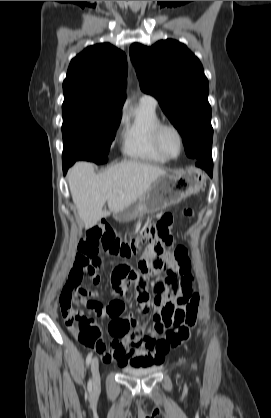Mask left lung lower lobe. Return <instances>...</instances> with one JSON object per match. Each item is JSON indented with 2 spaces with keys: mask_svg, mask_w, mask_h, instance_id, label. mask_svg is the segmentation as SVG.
<instances>
[{
  "mask_svg": "<svg viewBox=\"0 0 271 418\" xmlns=\"http://www.w3.org/2000/svg\"><path fill=\"white\" fill-rule=\"evenodd\" d=\"M196 165L203 168L209 175L212 176L213 162L211 156L199 159V162H197Z\"/></svg>",
  "mask_w": 271,
  "mask_h": 418,
  "instance_id": "left-lung-lower-lobe-1",
  "label": "left lung lower lobe"
}]
</instances>
